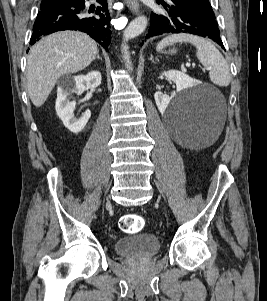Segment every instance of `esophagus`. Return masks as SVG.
Instances as JSON below:
<instances>
[{"label": "esophagus", "instance_id": "1", "mask_svg": "<svg viewBox=\"0 0 267 301\" xmlns=\"http://www.w3.org/2000/svg\"><path fill=\"white\" fill-rule=\"evenodd\" d=\"M125 1L133 13H135V14L139 13L140 4H139L138 0H125Z\"/></svg>", "mask_w": 267, "mask_h": 301}]
</instances>
